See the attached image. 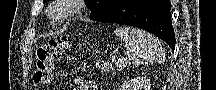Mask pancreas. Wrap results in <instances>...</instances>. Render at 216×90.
<instances>
[{
    "instance_id": "1",
    "label": "pancreas",
    "mask_w": 216,
    "mask_h": 90,
    "mask_svg": "<svg viewBox=\"0 0 216 90\" xmlns=\"http://www.w3.org/2000/svg\"><path fill=\"white\" fill-rule=\"evenodd\" d=\"M111 68H112L111 64H100L99 65V72H110Z\"/></svg>"
}]
</instances>
